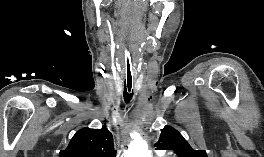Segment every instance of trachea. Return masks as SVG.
Instances as JSON below:
<instances>
[{
    "label": "trachea",
    "mask_w": 264,
    "mask_h": 157,
    "mask_svg": "<svg viewBox=\"0 0 264 157\" xmlns=\"http://www.w3.org/2000/svg\"><path fill=\"white\" fill-rule=\"evenodd\" d=\"M123 78H124V100L128 103L133 97L134 71L131 54L127 48H124L123 60Z\"/></svg>",
    "instance_id": "3493384b"
}]
</instances>
